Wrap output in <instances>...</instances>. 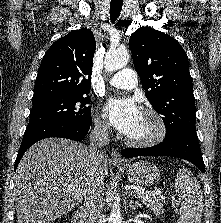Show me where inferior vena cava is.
Returning <instances> with one entry per match:
<instances>
[{"instance_id":"inferior-vena-cava-1","label":"inferior vena cava","mask_w":221,"mask_h":223,"mask_svg":"<svg viewBox=\"0 0 221 223\" xmlns=\"http://www.w3.org/2000/svg\"><path fill=\"white\" fill-rule=\"evenodd\" d=\"M108 125L103 122H96L95 127L89 135L88 154L90 168L87 173L84 192V223H97L103 202V176L100 173L101 160L104 157L101 148L110 141Z\"/></svg>"}]
</instances>
